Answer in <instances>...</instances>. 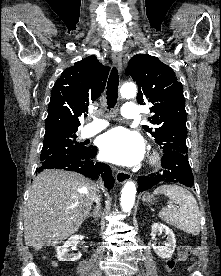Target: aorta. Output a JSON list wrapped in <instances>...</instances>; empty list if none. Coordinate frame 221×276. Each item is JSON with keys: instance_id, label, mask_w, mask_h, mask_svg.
<instances>
[{"instance_id": "762f6f07", "label": "aorta", "mask_w": 221, "mask_h": 276, "mask_svg": "<svg viewBox=\"0 0 221 276\" xmlns=\"http://www.w3.org/2000/svg\"><path fill=\"white\" fill-rule=\"evenodd\" d=\"M121 96L124 98H133L137 94L136 85L125 83L120 89ZM136 195V185L133 181H128L124 185L121 193L120 204L124 212L129 213L134 205Z\"/></svg>"}]
</instances>
